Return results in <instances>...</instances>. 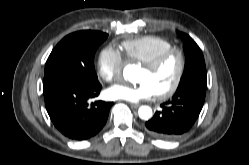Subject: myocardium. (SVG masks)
Wrapping results in <instances>:
<instances>
[{
  "mask_svg": "<svg viewBox=\"0 0 249 165\" xmlns=\"http://www.w3.org/2000/svg\"><path fill=\"white\" fill-rule=\"evenodd\" d=\"M172 57H176L178 62L176 74L169 87L155 93L156 96L160 99H165L172 96L177 91L181 83L185 70V55L183 51L179 48L172 47L159 54L156 58H154L150 62L141 65L149 72H156Z\"/></svg>",
  "mask_w": 249,
  "mask_h": 165,
  "instance_id": "obj_1",
  "label": "myocardium"
}]
</instances>
